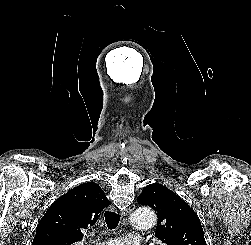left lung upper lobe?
Masks as SVG:
<instances>
[{"label": "left lung upper lobe", "instance_id": "1", "mask_svg": "<svg viewBox=\"0 0 251 245\" xmlns=\"http://www.w3.org/2000/svg\"><path fill=\"white\" fill-rule=\"evenodd\" d=\"M137 202L155 210L158 217L155 235L164 245H206L196 213L167 187L150 184L142 190Z\"/></svg>", "mask_w": 251, "mask_h": 245}]
</instances>
